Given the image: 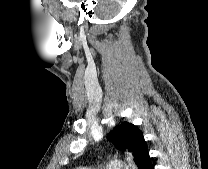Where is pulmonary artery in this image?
Instances as JSON below:
<instances>
[{
	"mask_svg": "<svg viewBox=\"0 0 208 169\" xmlns=\"http://www.w3.org/2000/svg\"><path fill=\"white\" fill-rule=\"evenodd\" d=\"M128 167L125 166L120 160L113 159L110 160L106 166L101 167V169H127ZM78 169H91L90 166H81Z\"/></svg>",
	"mask_w": 208,
	"mask_h": 169,
	"instance_id": "obj_1",
	"label": "pulmonary artery"
}]
</instances>
